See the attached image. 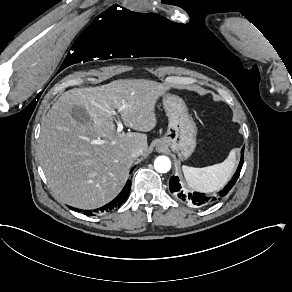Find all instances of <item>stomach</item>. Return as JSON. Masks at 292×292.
Here are the masks:
<instances>
[{
  "instance_id": "obj_1",
  "label": "stomach",
  "mask_w": 292,
  "mask_h": 292,
  "mask_svg": "<svg viewBox=\"0 0 292 292\" xmlns=\"http://www.w3.org/2000/svg\"><path fill=\"white\" fill-rule=\"evenodd\" d=\"M163 106L169 124L167 132L160 138L156 149L170 147L180 159H187L196 148V124L189 115L185 102L180 97L165 95Z\"/></svg>"
}]
</instances>
